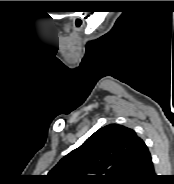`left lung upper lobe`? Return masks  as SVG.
I'll list each match as a JSON object with an SVG mask.
<instances>
[{
	"label": "left lung upper lobe",
	"mask_w": 174,
	"mask_h": 184,
	"mask_svg": "<svg viewBox=\"0 0 174 184\" xmlns=\"http://www.w3.org/2000/svg\"><path fill=\"white\" fill-rule=\"evenodd\" d=\"M141 140L134 130L109 124L60 160L48 175L56 184H122Z\"/></svg>",
	"instance_id": "left-lung-upper-lobe-1"
}]
</instances>
